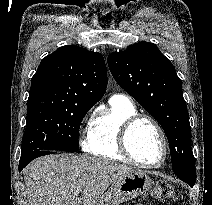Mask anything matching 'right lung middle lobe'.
Wrapping results in <instances>:
<instances>
[{
	"label": "right lung middle lobe",
	"instance_id": "dd1d6c3e",
	"mask_svg": "<svg viewBox=\"0 0 212 205\" xmlns=\"http://www.w3.org/2000/svg\"><path fill=\"white\" fill-rule=\"evenodd\" d=\"M93 105H27L21 158L42 150L76 152L80 123Z\"/></svg>",
	"mask_w": 212,
	"mask_h": 205
}]
</instances>
